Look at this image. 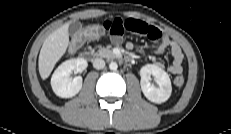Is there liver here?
Returning a JSON list of instances; mask_svg holds the SVG:
<instances>
[{"mask_svg":"<svg viewBox=\"0 0 231 134\" xmlns=\"http://www.w3.org/2000/svg\"><path fill=\"white\" fill-rule=\"evenodd\" d=\"M69 23L52 32L43 42L38 59V68L43 80L51 74L55 64L65 54L69 45Z\"/></svg>","mask_w":231,"mask_h":134,"instance_id":"obj_1","label":"liver"}]
</instances>
